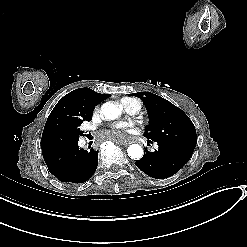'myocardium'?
I'll list each match as a JSON object with an SVG mask.
<instances>
[{"mask_svg": "<svg viewBox=\"0 0 247 247\" xmlns=\"http://www.w3.org/2000/svg\"><path fill=\"white\" fill-rule=\"evenodd\" d=\"M135 100V99H134ZM130 117H131V119L134 121V123H136V120H134L133 118H132V116L130 115Z\"/></svg>", "mask_w": 247, "mask_h": 247, "instance_id": "obj_1", "label": "myocardium"}]
</instances>
